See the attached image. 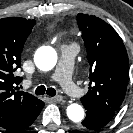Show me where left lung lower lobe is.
<instances>
[{
	"mask_svg": "<svg viewBox=\"0 0 133 133\" xmlns=\"http://www.w3.org/2000/svg\"><path fill=\"white\" fill-rule=\"evenodd\" d=\"M84 107L87 110L86 118L80 125L83 131L100 130L106 126L115 115L114 112L103 111L95 106L84 105Z\"/></svg>",
	"mask_w": 133,
	"mask_h": 133,
	"instance_id": "0a47b994",
	"label": "left lung lower lobe"
}]
</instances>
